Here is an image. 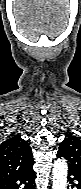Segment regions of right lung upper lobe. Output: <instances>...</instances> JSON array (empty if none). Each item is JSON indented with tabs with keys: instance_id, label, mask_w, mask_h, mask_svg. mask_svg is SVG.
<instances>
[{
	"instance_id": "right-lung-upper-lobe-1",
	"label": "right lung upper lobe",
	"mask_w": 81,
	"mask_h": 189,
	"mask_svg": "<svg viewBox=\"0 0 81 189\" xmlns=\"http://www.w3.org/2000/svg\"><path fill=\"white\" fill-rule=\"evenodd\" d=\"M34 163L29 143L14 136L0 144V181L27 169Z\"/></svg>"
}]
</instances>
